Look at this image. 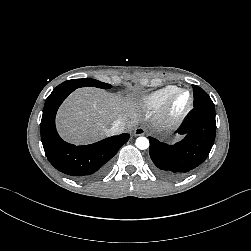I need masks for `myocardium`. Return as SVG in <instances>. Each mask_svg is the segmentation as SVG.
Masks as SVG:
<instances>
[{
  "mask_svg": "<svg viewBox=\"0 0 251 251\" xmlns=\"http://www.w3.org/2000/svg\"><path fill=\"white\" fill-rule=\"evenodd\" d=\"M181 95H186L187 100L182 107L176 109L174 108V103ZM192 106L193 96L191 92L186 89L177 88L167 97L162 106L159 108L157 120L159 124L164 127L174 128L183 121Z\"/></svg>",
  "mask_w": 251,
  "mask_h": 251,
  "instance_id": "1",
  "label": "myocardium"
}]
</instances>
